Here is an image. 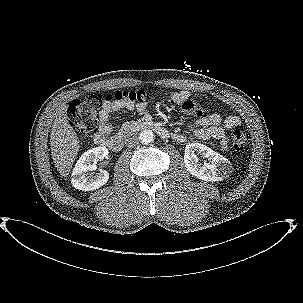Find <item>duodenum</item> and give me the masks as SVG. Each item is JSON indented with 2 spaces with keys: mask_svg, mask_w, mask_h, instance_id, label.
Segmentation results:
<instances>
[{
  "mask_svg": "<svg viewBox=\"0 0 303 303\" xmlns=\"http://www.w3.org/2000/svg\"><path fill=\"white\" fill-rule=\"evenodd\" d=\"M129 127L133 130H153L155 131L161 138L163 139H168L170 138V133L167 129L160 127V126H153L147 122H136V123H131ZM101 145L106 146L110 150L114 152H119L124 145L123 138L118 136L110 139H104L102 140Z\"/></svg>",
  "mask_w": 303,
  "mask_h": 303,
  "instance_id": "duodenum-1",
  "label": "duodenum"
}]
</instances>
